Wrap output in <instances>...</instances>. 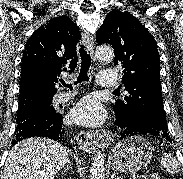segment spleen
<instances>
[{"instance_id":"3e777b00","label":"spleen","mask_w":183,"mask_h":179,"mask_svg":"<svg viewBox=\"0 0 183 179\" xmlns=\"http://www.w3.org/2000/svg\"><path fill=\"white\" fill-rule=\"evenodd\" d=\"M160 163L170 174H177L180 171L179 162L170 153H164L160 159Z\"/></svg>"}]
</instances>
